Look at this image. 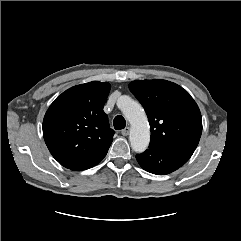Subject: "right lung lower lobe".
I'll return each instance as SVG.
<instances>
[{
    "instance_id": "98d812e1",
    "label": "right lung lower lobe",
    "mask_w": 241,
    "mask_h": 241,
    "mask_svg": "<svg viewBox=\"0 0 241 241\" xmlns=\"http://www.w3.org/2000/svg\"><path fill=\"white\" fill-rule=\"evenodd\" d=\"M105 155L106 154H103L102 156H100L90 162L74 165V166L70 167L69 169L74 170V171H81V170L91 168V167L97 165L105 157Z\"/></svg>"
}]
</instances>
